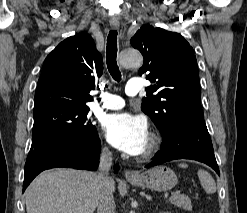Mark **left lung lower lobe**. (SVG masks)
<instances>
[{
	"instance_id": "1",
	"label": "left lung lower lobe",
	"mask_w": 247,
	"mask_h": 213,
	"mask_svg": "<svg viewBox=\"0 0 247 213\" xmlns=\"http://www.w3.org/2000/svg\"><path fill=\"white\" fill-rule=\"evenodd\" d=\"M175 159H192L203 162L219 174L212 142L204 121L176 122L172 133L163 136L161 149L146 167Z\"/></svg>"
}]
</instances>
